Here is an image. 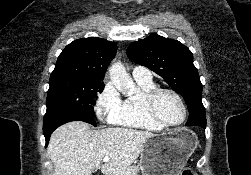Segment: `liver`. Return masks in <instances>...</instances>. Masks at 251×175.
Returning a JSON list of instances; mask_svg holds the SVG:
<instances>
[{"label":"liver","instance_id":"liver-1","mask_svg":"<svg viewBox=\"0 0 251 175\" xmlns=\"http://www.w3.org/2000/svg\"><path fill=\"white\" fill-rule=\"evenodd\" d=\"M152 135L150 131L125 127L92 131L84 121L64 123L53 131L47 149L54 163L53 175H90L97 169L115 175L137 159ZM105 155L110 159L103 163Z\"/></svg>","mask_w":251,"mask_h":175}]
</instances>
